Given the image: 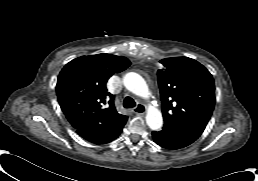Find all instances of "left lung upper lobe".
Returning <instances> with one entry per match:
<instances>
[{"mask_svg":"<svg viewBox=\"0 0 258 181\" xmlns=\"http://www.w3.org/2000/svg\"><path fill=\"white\" fill-rule=\"evenodd\" d=\"M158 71L165 124L202 134L214 109L215 85L210 72L188 57L166 58Z\"/></svg>","mask_w":258,"mask_h":181,"instance_id":"1","label":"left lung upper lobe"}]
</instances>
